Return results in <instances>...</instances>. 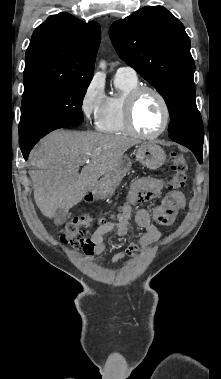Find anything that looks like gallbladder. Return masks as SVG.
I'll return each mask as SVG.
<instances>
[{
	"mask_svg": "<svg viewBox=\"0 0 221 379\" xmlns=\"http://www.w3.org/2000/svg\"><path fill=\"white\" fill-rule=\"evenodd\" d=\"M67 218V213L64 211V209H57L55 216H54V222L55 224H62L65 222Z\"/></svg>",
	"mask_w": 221,
	"mask_h": 379,
	"instance_id": "obj_1",
	"label": "gallbladder"
}]
</instances>
